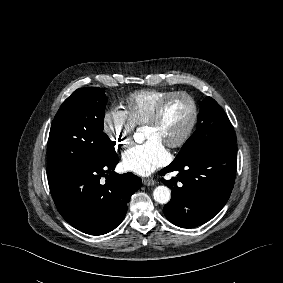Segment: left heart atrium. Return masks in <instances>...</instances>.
I'll use <instances>...</instances> for the list:
<instances>
[{"label":"left heart atrium","mask_w":283,"mask_h":283,"mask_svg":"<svg viewBox=\"0 0 283 283\" xmlns=\"http://www.w3.org/2000/svg\"><path fill=\"white\" fill-rule=\"evenodd\" d=\"M168 159L169 153L164 144L157 139H149L127 150L122 156V165L128 171L147 176Z\"/></svg>","instance_id":"left-heart-atrium-1"}]
</instances>
